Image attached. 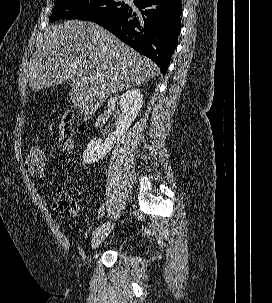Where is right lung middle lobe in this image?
<instances>
[{"label": "right lung middle lobe", "mask_w": 272, "mask_h": 303, "mask_svg": "<svg viewBox=\"0 0 272 303\" xmlns=\"http://www.w3.org/2000/svg\"><path fill=\"white\" fill-rule=\"evenodd\" d=\"M124 3L113 0H94L88 4L86 0H57L50 22L58 19H78L99 21L117 15L126 9Z\"/></svg>", "instance_id": "dd1d6c3e"}]
</instances>
